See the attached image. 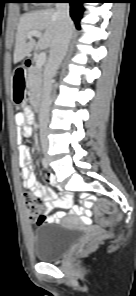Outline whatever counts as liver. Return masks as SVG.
I'll list each match as a JSON object with an SVG mask.
<instances>
[{"label":"liver","instance_id":"liver-1","mask_svg":"<svg viewBox=\"0 0 136 296\" xmlns=\"http://www.w3.org/2000/svg\"><path fill=\"white\" fill-rule=\"evenodd\" d=\"M60 22L56 10L53 8L33 11L24 14L19 21L16 44L14 49L13 61L18 63L28 56L34 47L36 41L28 37L30 31H43L39 47L50 48V52L56 43L59 33ZM73 27V24H72Z\"/></svg>","mask_w":136,"mask_h":296}]
</instances>
